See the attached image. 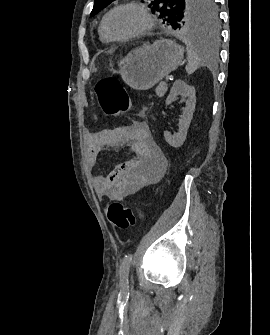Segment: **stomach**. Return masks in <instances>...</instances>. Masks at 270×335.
Listing matches in <instances>:
<instances>
[{"mask_svg":"<svg viewBox=\"0 0 270 335\" xmlns=\"http://www.w3.org/2000/svg\"><path fill=\"white\" fill-rule=\"evenodd\" d=\"M183 48L175 40L160 38L150 46L134 48L120 60L119 74L133 90H149L176 70L183 60Z\"/></svg>","mask_w":270,"mask_h":335,"instance_id":"1","label":"stomach"}]
</instances>
